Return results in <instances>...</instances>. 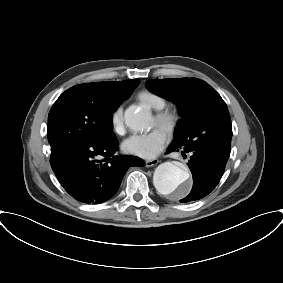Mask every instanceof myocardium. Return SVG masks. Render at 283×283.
Returning a JSON list of instances; mask_svg holds the SVG:
<instances>
[{
	"label": "myocardium",
	"mask_w": 283,
	"mask_h": 283,
	"mask_svg": "<svg viewBox=\"0 0 283 283\" xmlns=\"http://www.w3.org/2000/svg\"><path fill=\"white\" fill-rule=\"evenodd\" d=\"M154 119L158 126L170 136L175 133L180 122L178 113L170 108H163L156 111Z\"/></svg>",
	"instance_id": "myocardium-1"
}]
</instances>
